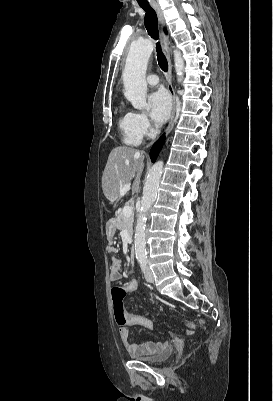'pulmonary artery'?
<instances>
[{
	"mask_svg": "<svg viewBox=\"0 0 273 401\" xmlns=\"http://www.w3.org/2000/svg\"><path fill=\"white\" fill-rule=\"evenodd\" d=\"M148 80L150 83H157L159 81V76L157 74H150Z\"/></svg>",
	"mask_w": 273,
	"mask_h": 401,
	"instance_id": "e3ab8cb5",
	"label": "pulmonary artery"
}]
</instances>
